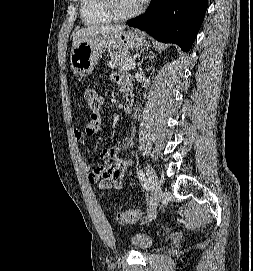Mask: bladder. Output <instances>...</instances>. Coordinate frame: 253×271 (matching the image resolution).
Wrapping results in <instances>:
<instances>
[{"label":"bladder","mask_w":253,"mask_h":271,"mask_svg":"<svg viewBox=\"0 0 253 271\" xmlns=\"http://www.w3.org/2000/svg\"><path fill=\"white\" fill-rule=\"evenodd\" d=\"M129 244L140 252H146L155 246L156 239L143 231H137L130 236Z\"/></svg>","instance_id":"31cf9c89"}]
</instances>
